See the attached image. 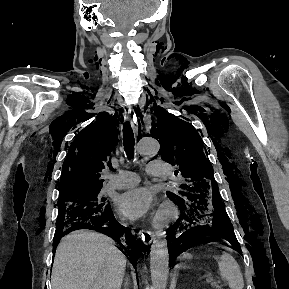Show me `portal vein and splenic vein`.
Instances as JSON below:
<instances>
[{
    "label": "portal vein and splenic vein",
    "instance_id": "portal-vein-and-splenic-vein-1",
    "mask_svg": "<svg viewBox=\"0 0 289 289\" xmlns=\"http://www.w3.org/2000/svg\"><path fill=\"white\" fill-rule=\"evenodd\" d=\"M206 282H207V283H213V282H214V278L211 277V276H208V277L206 278Z\"/></svg>",
    "mask_w": 289,
    "mask_h": 289
}]
</instances>
